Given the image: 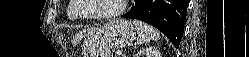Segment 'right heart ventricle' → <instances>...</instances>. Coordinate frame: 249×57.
<instances>
[{
    "instance_id": "1",
    "label": "right heart ventricle",
    "mask_w": 249,
    "mask_h": 57,
    "mask_svg": "<svg viewBox=\"0 0 249 57\" xmlns=\"http://www.w3.org/2000/svg\"><path fill=\"white\" fill-rule=\"evenodd\" d=\"M73 4L70 5V7L68 8V18L71 19V20H77L79 19V17L75 14V11H74V0L71 1Z\"/></svg>"
}]
</instances>
